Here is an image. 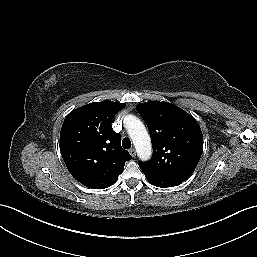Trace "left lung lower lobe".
<instances>
[{
	"mask_svg": "<svg viewBox=\"0 0 257 257\" xmlns=\"http://www.w3.org/2000/svg\"><path fill=\"white\" fill-rule=\"evenodd\" d=\"M152 185L157 187H173L181 184L183 181L176 180V179H169V178H162L157 180H149L147 179Z\"/></svg>",
	"mask_w": 257,
	"mask_h": 257,
	"instance_id": "left-lung-lower-lobe-1",
	"label": "left lung lower lobe"
}]
</instances>
